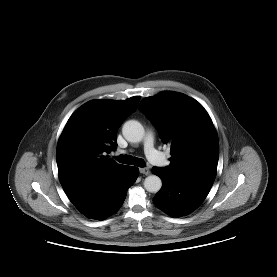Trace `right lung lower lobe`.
Returning <instances> with one entry per match:
<instances>
[{
    "label": "right lung lower lobe",
    "instance_id": "right-lung-lower-lobe-1",
    "mask_svg": "<svg viewBox=\"0 0 277 277\" xmlns=\"http://www.w3.org/2000/svg\"><path fill=\"white\" fill-rule=\"evenodd\" d=\"M138 175L137 167L123 166L92 190L71 198L70 201L86 217L103 220L119 210L127 190L134 184Z\"/></svg>",
    "mask_w": 277,
    "mask_h": 277
}]
</instances>
